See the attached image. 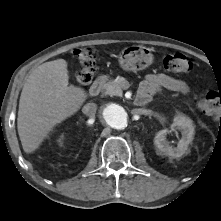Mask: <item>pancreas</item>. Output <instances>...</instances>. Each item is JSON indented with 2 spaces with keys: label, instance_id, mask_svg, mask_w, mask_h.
Here are the masks:
<instances>
[{
  "label": "pancreas",
  "instance_id": "pancreas-1",
  "mask_svg": "<svg viewBox=\"0 0 221 221\" xmlns=\"http://www.w3.org/2000/svg\"><path fill=\"white\" fill-rule=\"evenodd\" d=\"M123 81H124L123 78L109 80L108 82L102 85V92L105 95H109V96H120L122 94Z\"/></svg>",
  "mask_w": 221,
  "mask_h": 221
}]
</instances>
